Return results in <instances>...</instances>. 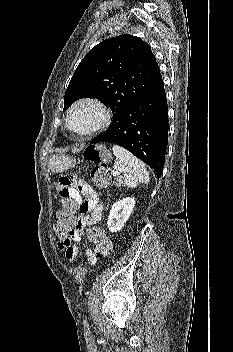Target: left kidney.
<instances>
[{"label":"left kidney","instance_id":"1","mask_svg":"<svg viewBox=\"0 0 233 352\" xmlns=\"http://www.w3.org/2000/svg\"><path fill=\"white\" fill-rule=\"evenodd\" d=\"M135 206V198L127 197L115 202L110 210L107 226L110 232H117L122 229L129 219Z\"/></svg>","mask_w":233,"mask_h":352}]
</instances>
